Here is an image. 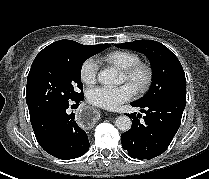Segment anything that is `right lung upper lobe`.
I'll return each mask as SVG.
<instances>
[{
	"label": "right lung upper lobe",
	"instance_id": "obj_1",
	"mask_svg": "<svg viewBox=\"0 0 209 179\" xmlns=\"http://www.w3.org/2000/svg\"><path fill=\"white\" fill-rule=\"evenodd\" d=\"M92 47L91 45H82L72 40H59L47 47H45L39 55L44 54H57V53H70L76 50Z\"/></svg>",
	"mask_w": 209,
	"mask_h": 179
}]
</instances>
